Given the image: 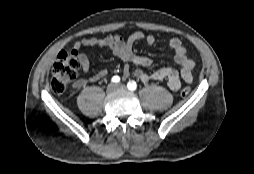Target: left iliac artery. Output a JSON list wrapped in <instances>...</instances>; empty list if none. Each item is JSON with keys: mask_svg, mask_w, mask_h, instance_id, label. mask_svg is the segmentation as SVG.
Listing matches in <instances>:
<instances>
[{"mask_svg": "<svg viewBox=\"0 0 254 174\" xmlns=\"http://www.w3.org/2000/svg\"><path fill=\"white\" fill-rule=\"evenodd\" d=\"M127 87H128L129 90L134 91V90H136V88H137V84H136L135 81H131V82H129V83L127 84Z\"/></svg>", "mask_w": 254, "mask_h": 174, "instance_id": "left-iliac-artery-1", "label": "left iliac artery"}]
</instances>
